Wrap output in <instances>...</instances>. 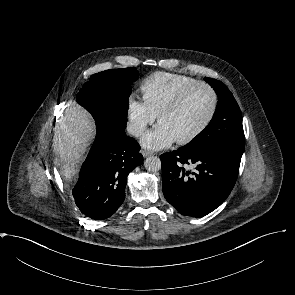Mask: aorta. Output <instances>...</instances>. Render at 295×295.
I'll return each mask as SVG.
<instances>
[{
	"mask_svg": "<svg viewBox=\"0 0 295 295\" xmlns=\"http://www.w3.org/2000/svg\"><path fill=\"white\" fill-rule=\"evenodd\" d=\"M144 166L149 172H157L161 169V160L157 156H150L145 160Z\"/></svg>",
	"mask_w": 295,
	"mask_h": 295,
	"instance_id": "1",
	"label": "aorta"
}]
</instances>
